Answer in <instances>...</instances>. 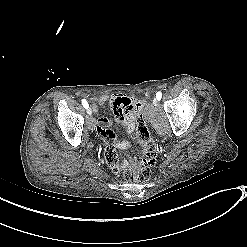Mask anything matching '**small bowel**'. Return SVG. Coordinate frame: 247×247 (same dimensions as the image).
Wrapping results in <instances>:
<instances>
[{
  "instance_id": "small-bowel-1",
  "label": "small bowel",
  "mask_w": 247,
  "mask_h": 247,
  "mask_svg": "<svg viewBox=\"0 0 247 247\" xmlns=\"http://www.w3.org/2000/svg\"><path fill=\"white\" fill-rule=\"evenodd\" d=\"M110 101L112 105V110L115 118L121 122L124 129L127 133H131L134 130L135 127V121L133 118L126 117L122 115L121 108L123 106V109L127 113H131L132 116L137 117L140 115L143 103L142 102H136L133 98H127L123 96L114 95L111 97L107 96H99L92 99V102L94 105H102L106 101ZM138 104V105H137ZM97 113H100V110H97ZM95 122L98 124L97 127L94 128L93 133L97 137H104L108 141H110L111 144L117 145L120 141V137L117 133H115L114 130L107 128L109 124V121L104 116H97L95 118ZM119 146L123 149L130 147V143L127 141H123L119 144ZM117 151L114 148V146L109 145L106 148V160L109 165V169L111 172L116 173L121 168V163L117 158Z\"/></svg>"
}]
</instances>
